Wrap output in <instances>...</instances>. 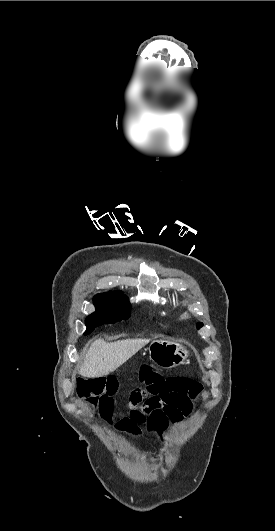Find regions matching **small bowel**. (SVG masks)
Segmentation results:
<instances>
[{"instance_id": "small-bowel-1", "label": "small bowel", "mask_w": 275, "mask_h": 531, "mask_svg": "<svg viewBox=\"0 0 275 531\" xmlns=\"http://www.w3.org/2000/svg\"><path fill=\"white\" fill-rule=\"evenodd\" d=\"M139 374L142 384L148 385L145 390L132 396L129 414L114 424L117 431L128 434L135 440L142 436L141 426L160 437L170 426L180 424L192 410V404L186 398H199L204 392L202 383H192L194 378L191 373H165L162 378L160 369L145 364ZM162 379L164 383H161ZM104 381V394L99 398L101 414L112 417L120 378L118 375H107Z\"/></svg>"}]
</instances>
